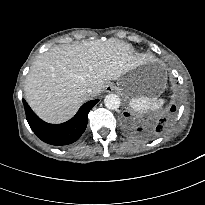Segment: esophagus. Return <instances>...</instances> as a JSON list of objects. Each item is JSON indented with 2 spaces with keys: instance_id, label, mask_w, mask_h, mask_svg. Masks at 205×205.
<instances>
[{
  "instance_id": "obj_1",
  "label": "esophagus",
  "mask_w": 205,
  "mask_h": 205,
  "mask_svg": "<svg viewBox=\"0 0 205 205\" xmlns=\"http://www.w3.org/2000/svg\"><path fill=\"white\" fill-rule=\"evenodd\" d=\"M105 89L107 92H111L114 89V86L112 84H108Z\"/></svg>"
}]
</instances>
